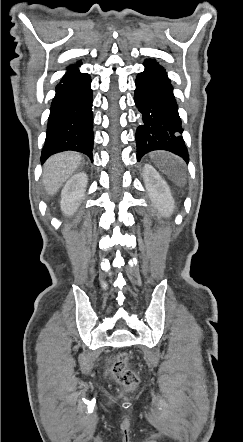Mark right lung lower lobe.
<instances>
[{
    "label": "right lung lower lobe",
    "instance_id": "obj_1",
    "mask_svg": "<svg viewBox=\"0 0 243 442\" xmlns=\"http://www.w3.org/2000/svg\"><path fill=\"white\" fill-rule=\"evenodd\" d=\"M81 62L68 67L56 86L47 125V136L41 162L49 156L66 151H79L92 160L93 113L90 75L81 73Z\"/></svg>",
    "mask_w": 243,
    "mask_h": 442
}]
</instances>
